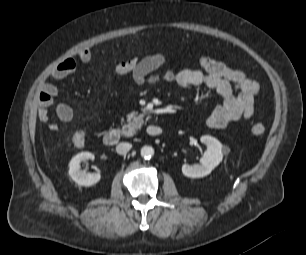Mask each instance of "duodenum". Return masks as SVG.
<instances>
[{"label":"duodenum","instance_id":"obj_1","mask_svg":"<svg viewBox=\"0 0 306 255\" xmlns=\"http://www.w3.org/2000/svg\"><path fill=\"white\" fill-rule=\"evenodd\" d=\"M147 134L151 137H158L162 134V129L156 125H150L147 127ZM121 139V130L118 128H112L105 132L103 141L108 146L116 145Z\"/></svg>","mask_w":306,"mask_h":255}]
</instances>
